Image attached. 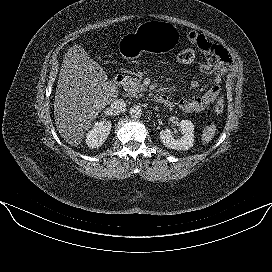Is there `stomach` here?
I'll list each match as a JSON object with an SVG mask.
<instances>
[{
  "label": "stomach",
  "instance_id": "obj_1",
  "mask_svg": "<svg viewBox=\"0 0 272 272\" xmlns=\"http://www.w3.org/2000/svg\"><path fill=\"white\" fill-rule=\"evenodd\" d=\"M180 34L175 25L152 20L141 23L135 32L123 36L119 50L125 59H135L143 53L164 52L175 48Z\"/></svg>",
  "mask_w": 272,
  "mask_h": 272
}]
</instances>
